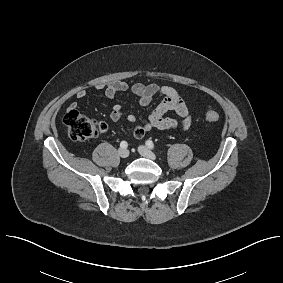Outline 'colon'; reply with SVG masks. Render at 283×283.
<instances>
[{
	"label": "colon",
	"instance_id": "5ec220e1",
	"mask_svg": "<svg viewBox=\"0 0 283 283\" xmlns=\"http://www.w3.org/2000/svg\"><path fill=\"white\" fill-rule=\"evenodd\" d=\"M205 119L209 123H216L219 121L220 116L216 111L209 110L205 113ZM64 122L70 137L76 141L94 138L106 129L105 123H99L77 110H70L66 114Z\"/></svg>",
	"mask_w": 283,
	"mask_h": 283
}]
</instances>
